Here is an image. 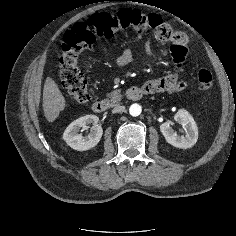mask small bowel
<instances>
[{
    "label": "small bowel",
    "instance_id": "obj_1",
    "mask_svg": "<svg viewBox=\"0 0 236 236\" xmlns=\"http://www.w3.org/2000/svg\"><path fill=\"white\" fill-rule=\"evenodd\" d=\"M179 36L180 38L178 40L172 42V58L177 71L175 73L145 83L143 88L146 90L147 94H153L157 92L176 93L183 90L185 85L180 80L179 73L185 64V58L187 54V39L181 33H179ZM144 50L150 59L157 60V56L152 49L150 40L145 42ZM102 51L105 55H108V49L106 46L102 47ZM132 60V50L126 49L114 59V64L118 67H123L129 64Z\"/></svg>",
    "mask_w": 236,
    "mask_h": 236
}]
</instances>
